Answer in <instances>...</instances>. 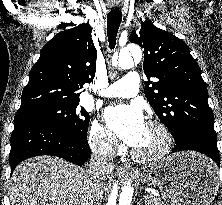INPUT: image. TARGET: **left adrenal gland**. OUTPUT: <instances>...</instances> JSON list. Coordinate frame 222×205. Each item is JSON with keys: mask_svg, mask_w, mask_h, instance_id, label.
<instances>
[{"mask_svg": "<svg viewBox=\"0 0 222 205\" xmlns=\"http://www.w3.org/2000/svg\"><path fill=\"white\" fill-rule=\"evenodd\" d=\"M137 205H142V201H139Z\"/></svg>", "mask_w": 222, "mask_h": 205, "instance_id": "left-adrenal-gland-1", "label": "left adrenal gland"}]
</instances>
